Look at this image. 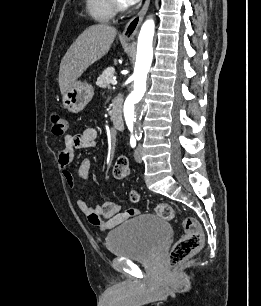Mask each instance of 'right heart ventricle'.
I'll return each instance as SVG.
<instances>
[{
  "instance_id": "1",
  "label": "right heart ventricle",
  "mask_w": 261,
  "mask_h": 306,
  "mask_svg": "<svg viewBox=\"0 0 261 306\" xmlns=\"http://www.w3.org/2000/svg\"><path fill=\"white\" fill-rule=\"evenodd\" d=\"M88 13L99 22H108L115 15L112 0H86Z\"/></svg>"
}]
</instances>
